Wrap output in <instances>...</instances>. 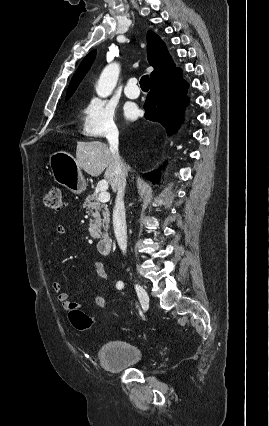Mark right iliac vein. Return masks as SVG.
<instances>
[{
	"mask_svg": "<svg viewBox=\"0 0 269 426\" xmlns=\"http://www.w3.org/2000/svg\"><path fill=\"white\" fill-rule=\"evenodd\" d=\"M135 288H136V291H137V294H138V297H139V300L141 302L142 307L144 309H147L149 307V302H150L148 293L143 288V286H141L138 283H135Z\"/></svg>",
	"mask_w": 269,
	"mask_h": 426,
	"instance_id": "1",
	"label": "right iliac vein"
}]
</instances>
